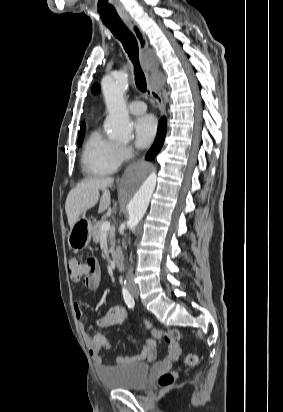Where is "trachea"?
Masks as SVG:
<instances>
[{
    "label": "trachea",
    "instance_id": "obj_1",
    "mask_svg": "<svg viewBox=\"0 0 283 412\" xmlns=\"http://www.w3.org/2000/svg\"><path fill=\"white\" fill-rule=\"evenodd\" d=\"M106 26L111 30L113 35L121 41L125 51L127 52L130 60L134 65L136 87L139 91L146 92L147 83L145 75L140 66L139 48L135 36L123 22L110 23L106 24Z\"/></svg>",
    "mask_w": 283,
    "mask_h": 412
}]
</instances>
